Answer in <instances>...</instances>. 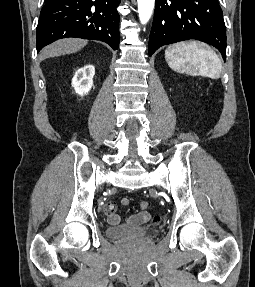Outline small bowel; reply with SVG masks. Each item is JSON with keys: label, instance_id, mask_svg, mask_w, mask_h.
<instances>
[{"label": "small bowel", "instance_id": "c3829d8e", "mask_svg": "<svg viewBox=\"0 0 255 287\" xmlns=\"http://www.w3.org/2000/svg\"><path fill=\"white\" fill-rule=\"evenodd\" d=\"M123 205L129 204L128 198H123L121 200ZM117 206L115 203H108L105 206V212L107 215V221L110 225H116L122 221L121 217L116 212ZM124 223L131 226H141L145 224L150 225H158L161 221V217L159 215H151L146 211L137 212L129 217L123 219Z\"/></svg>", "mask_w": 255, "mask_h": 287}]
</instances>
